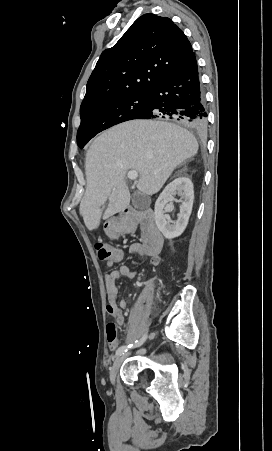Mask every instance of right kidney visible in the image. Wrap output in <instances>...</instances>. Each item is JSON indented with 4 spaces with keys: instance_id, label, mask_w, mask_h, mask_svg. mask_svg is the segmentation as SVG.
<instances>
[{
    "instance_id": "1",
    "label": "right kidney",
    "mask_w": 272,
    "mask_h": 451,
    "mask_svg": "<svg viewBox=\"0 0 272 451\" xmlns=\"http://www.w3.org/2000/svg\"><path fill=\"white\" fill-rule=\"evenodd\" d=\"M176 196H180V200H176ZM168 202L170 210H173V202H181L180 214L178 220L173 222L169 216H164V208ZM194 202V188L189 178H176L171 184L166 186L158 200L155 202L154 214L156 226L167 239L171 237H178L183 233L185 227L189 222Z\"/></svg>"
}]
</instances>
